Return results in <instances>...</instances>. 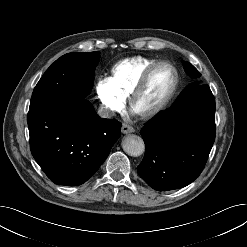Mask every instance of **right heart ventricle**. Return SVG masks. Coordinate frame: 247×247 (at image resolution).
I'll list each match as a JSON object with an SVG mask.
<instances>
[{"mask_svg":"<svg viewBox=\"0 0 247 247\" xmlns=\"http://www.w3.org/2000/svg\"><path fill=\"white\" fill-rule=\"evenodd\" d=\"M155 62L156 59L143 56L120 60L111 69L110 82L115 90L126 98L144 70Z\"/></svg>","mask_w":247,"mask_h":247,"instance_id":"1","label":"right heart ventricle"}]
</instances>
